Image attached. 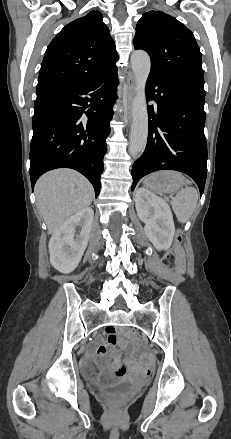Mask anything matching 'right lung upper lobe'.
Instances as JSON below:
<instances>
[{
	"label": "right lung upper lobe",
	"instance_id": "1",
	"mask_svg": "<svg viewBox=\"0 0 231 439\" xmlns=\"http://www.w3.org/2000/svg\"><path fill=\"white\" fill-rule=\"evenodd\" d=\"M99 11L67 24L51 41L39 72L37 93L82 85L116 67L118 54Z\"/></svg>",
	"mask_w": 231,
	"mask_h": 439
}]
</instances>
